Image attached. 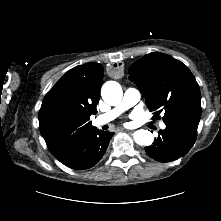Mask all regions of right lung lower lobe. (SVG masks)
<instances>
[{
  "instance_id": "right-lung-lower-lobe-1",
  "label": "right lung lower lobe",
  "mask_w": 221,
  "mask_h": 221,
  "mask_svg": "<svg viewBox=\"0 0 221 221\" xmlns=\"http://www.w3.org/2000/svg\"><path fill=\"white\" fill-rule=\"evenodd\" d=\"M112 136L95 128L56 158L72 169L91 168L104 156Z\"/></svg>"
}]
</instances>
